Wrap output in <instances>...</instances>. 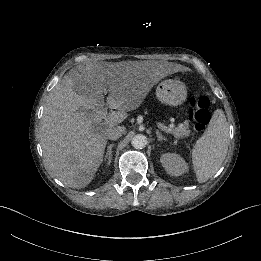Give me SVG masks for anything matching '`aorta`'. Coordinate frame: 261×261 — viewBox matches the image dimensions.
Segmentation results:
<instances>
[{
	"mask_svg": "<svg viewBox=\"0 0 261 261\" xmlns=\"http://www.w3.org/2000/svg\"><path fill=\"white\" fill-rule=\"evenodd\" d=\"M131 144L135 149H142L147 145V138L143 134L133 136Z\"/></svg>",
	"mask_w": 261,
	"mask_h": 261,
	"instance_id": "762f6f07",
	"label": "aorta"
}]
</instances>
